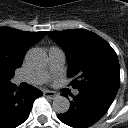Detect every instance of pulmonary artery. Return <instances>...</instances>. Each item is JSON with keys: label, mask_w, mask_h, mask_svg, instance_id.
<instances>
[{"label": "pulmonary artery", "mask_w": 128, "mask_h": 128, "mask_svg": "<svg viewBox=\"0 0 128 128\" xmlns=\"http://www.w3.org/2000/svg\"><path fill=\"white\" fill-rule=\"evenodd\" d=\"M49 65L47 70L34 71L26 74L17 75L14 79L16 83L26 82L32 85H40L45 83L50 77L51 73H55L60 70L65 64V52L57 47L49 49ZM79 90L73 91L74 95H78Z\"/></svg>", "instance_id": "e3ab8cb5"}]
</instances>
